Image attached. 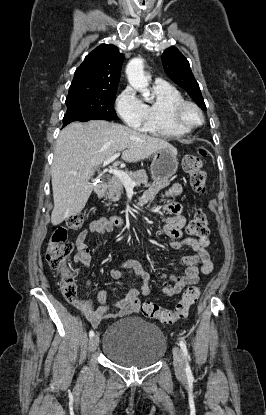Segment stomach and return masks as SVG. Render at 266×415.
<instances>
[{"mask_svg":"<svg viewBox=\"0 0 266 415\" xmlns=\"http://www.w3.org/2000/svg\"><path fill=\"white\" fill-rule=\"evenodd\" d=\"M177 153L168 148L158 149L153 153L151 163V177L155 182L169 179L178 168Z\"/></svg>","mask_w":266,"mask_h":415,"instance_id":"stomach-1","label":"stomach"}]
</instances>
